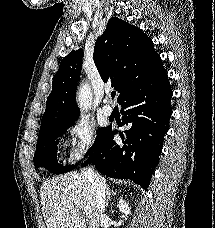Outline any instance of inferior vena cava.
I'll list each match as a JSON object with an SVG mask.
<instances>
[{"label":"inferior vena cava","instance_id":"obj_1","mask_svg":"<svg viewBox=\"0 0 215 228\" xmlns=\"http://www.w3.org/2000/svg\"><path fill=\"white\" fill-rule=\"evenodd\" d=\"M84 176H86L90 184V190H92V194L94 196L97 212L100 218H103V212L106 204V196L108 194L107 184L104 178L100 176V174H96V172H94L93 166H89V168H86Z\"/></svg>","mask_w":215,"mask_h":228}]
</instances>
